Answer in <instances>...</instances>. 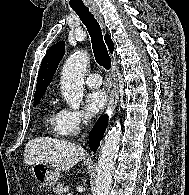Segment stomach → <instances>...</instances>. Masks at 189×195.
I'll return each mask as SVG.
<instances>
[{
	"instance_id": "1",
	"label": "stomach",
	"mask_w": 189,
	"mask_h": 195,
	"mask_svg": "<svg viewBox=\"0 0 189 195\" xmlns=\"http://www.w3.org/2000/svg\"><path fill=\"white\" fill-rule=\"evenodd\" d=\"M32 173L37 182L46 188L54 187L60 177L59 171L46 162L33 165Z\"/></svg>"
}]
</instances>
